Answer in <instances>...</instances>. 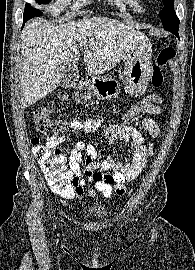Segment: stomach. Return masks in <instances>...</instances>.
Here are the masks:
<instances>
[{
    "instance_id": "0dacf381",
    "label": "stomach",
    "mask_w": 195,
    "mask_h": 270,
    "mask_svg": "<svg viewBox=\"0 0 195 270\" xmlns=\"http://www.w3.org/2000/svg\"><path fill=\"white\" fill-rule=\"evenodd\" d=\"M152 44L147 37L138 40L135 48L125 58L123 85L131 96L141 95L148 87L151 74ZM89 87L102 100H114L120 92L117 80L100 75L89 76Z\"/></svg>"
}]
</instances>
